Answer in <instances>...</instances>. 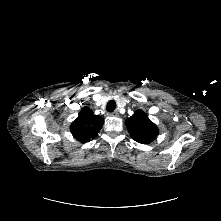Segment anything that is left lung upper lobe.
<instances>
[{
    "label": "left lung upper lobe",
    "instance_id": "left-lung-upper-lobe-1",
    "mask_svg": "<svg viewBox=\"0 0 221 221\" xmlns=\"http://www.w3.org/2000/svg\"><path fill=\"white\" fill-rule=\"evenodd\" d=\"M130 136L139 143L148 144L156 139L159 130L142 110H137L130 118L126 119Z\"/></svg>",
    "mask_w": 221,
    "mask_h": 221
}]
</instances>
